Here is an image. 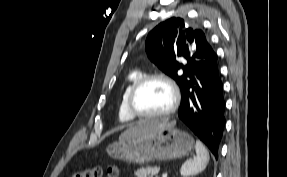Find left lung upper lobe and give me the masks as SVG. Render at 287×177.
Segmentation results:
<instances>
[{
	"label": "left lung upper lobe",
	"mask_w": 287,
	"mask_h": 177,
	"mask_svg": "<svg viewBox=\"0 0 287 177\" xmlns=\"http://www.w3.org/2000/svg\"><path fill=\"white\" fill-rule=\"evenodd\" d=\"M212 50L203 31L193 29L186 20L177 17L157 25L146 38L149 59L173 78L180 89ZM178 57H184L187 64L179 63ZM179 69L183 70L182 75L178 74Z\"/></svg>",
	"instance_id": "5c2ea615"
}]
</instances>
